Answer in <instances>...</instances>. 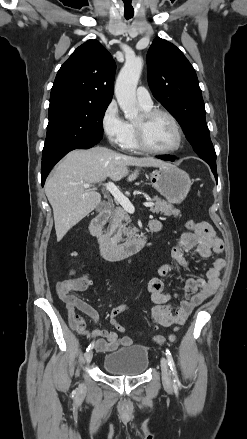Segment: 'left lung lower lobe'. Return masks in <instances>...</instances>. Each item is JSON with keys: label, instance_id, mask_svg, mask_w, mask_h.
Wrapping results in <instances>:
<instances>
[{"label": "left lung lower lobe", "instance_id": "0a47b994", "mask_svg": "<svg viewBox=\"0 0 247 439\" xmlns=\"http://www.w3.org/2000/svg\"><path fill=\"white\" fill-rule=\"evenodd\" d=\"M157 158L165 160V161H172V162L176 159L174 156H171V155L158 156ZM211 170L214 173V176L217 180L218 177H217L216 168H211Z\"/></svg>", "mask_w": 247, "mask_h": 439}]
</instances>
